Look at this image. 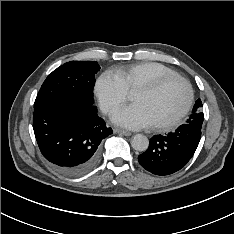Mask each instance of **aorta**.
Instances as JSON below:
<instances>
[{
    "label": "aorta",
    "mask_w": 234,
    "mask_h": 234,
    "mask_svg": "<svg viewBox=\"0 0 234 234\" xmlns=\"http://www.w3.org/2000/svg\"><path fill=\"white\" fill-rule=\"evenodd\" d=\"M131 145L137 151H146L149 146V140L145 135L136 134L132 137Z\"/></svg>",
    "instance_id": "1"
}]
</instances>
